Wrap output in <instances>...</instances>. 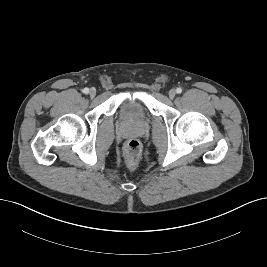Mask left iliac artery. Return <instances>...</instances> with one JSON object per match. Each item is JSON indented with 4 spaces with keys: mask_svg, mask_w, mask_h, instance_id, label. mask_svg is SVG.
<instances>
[{
    "mask_svg": "<svg viewBox=\"0 0 267 267\" xmlns=\"http://www.w3.org/2000/svg\"><path fill=\"white\" fill-rule=\"evenodd\" d=\"M176 92H177L178 94H180V93L182 92V89H181L180 87H178V88L176 89Z\"/></svg>",
    "mask_w": 267,
    "mask_h": 267,
    "instance_id": "1",
    "label": "left iliac artery"
}]
</instances>
